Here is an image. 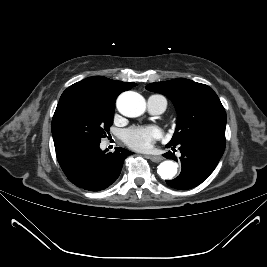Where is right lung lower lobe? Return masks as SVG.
<instances>
[{"mask_svg": "<svg viewBox=\"0 0 267 267\" xmlns=\"http://www.w3.org/2000/svg\"><path fill=\"white\" fill-rule=\"evenodd\" d=\"M99 144H79L56 151L67 178L85 190L101 191L113 184L121 173L123 160L132 154L121 147L106 153Z\"/></svg>", "mask_w": 267, "mask_h": 267, "instance_id": "98d812e1", "label": "right lung lower lobe"}]
</instances>
